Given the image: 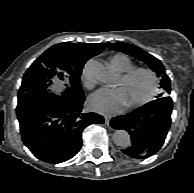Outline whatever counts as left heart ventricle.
Listing matches in <instances>:
<instances>
[{
  "label": "left heart ventricle",
  "instance_id": "left-heart-ventricle-1",
  "mask_svg": "<svg viewBox=\"0 0 194 193\" xmlns=\"http://www.w3.org/2000/svg\"><path fill=\"white\" fill-rule=\"evenodd\" d=\"M150 80L146 74L139 73L130 80H119L118 87L122 88L126 103L130 104L142 98L149 90Z\"/></svg>",
  "mask_w": 194,
  "mask_h": 193
}]
</instances>
